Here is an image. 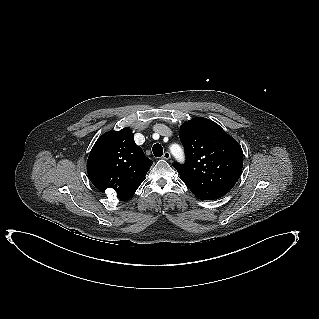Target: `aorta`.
Here are the masks:
<instances>
[{"label": "aorta", "mask_w": 319, "mask_h": 319, "mask_svg": "<svg viewBox=\"0 0 319 319\" xmlns=\"http://www.w3.org/2000/svg\"><path fill=\"white\" fill-rule=\"evenodd\" d=\"M170 150L179 163L183 164L185 162V155L183 149L178 144H173L170 147Z\"/></svg>", "instance_id": "aorta-1"}]
</instances>
